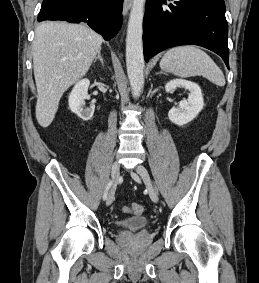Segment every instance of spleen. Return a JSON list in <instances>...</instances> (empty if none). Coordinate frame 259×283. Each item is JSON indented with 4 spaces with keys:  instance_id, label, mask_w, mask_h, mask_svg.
<instances>
[{
    "instance_id": "3e777b00",
    "label": "spleen",
    "mask_w": 259,
    "mask_h": 283,
    "mask_svg": "<svg viewBox=\"0 0 259 283\" xmlns=\"http://www.w3.org/2000/svg\"><path fill=\"white\" fill-rule=\"evenodd\" d=\"M160 67L178 77L204 76L218 86L225 85V77L215 62L195 46H180L168 50Z\"/></svg>"
}]
</instances>
